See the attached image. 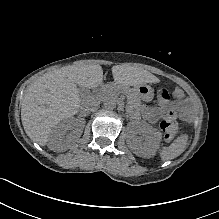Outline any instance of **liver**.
<instances>
[{"instance_id":"obj_1","label":"liver","mask_w":219,"mask_h":219,"mask_svg":"<svg viewBox=\"0 0 219 219\" xmlns=\"http://www.w3.org/2000/svg\"><path fill=\"white\" fill-rule=\"evenodd\" d=\"M115 84L140 86L152 82L148 71L125 65L112 67ZM103 70L99 64L65 66L38 77L26 89L21 107V120L28 137L45 146L60 122L76 115L83 104L94 109L100 104L98 97L80 95V89H95L102 85Z\"/></svg>"}]
</instances>
